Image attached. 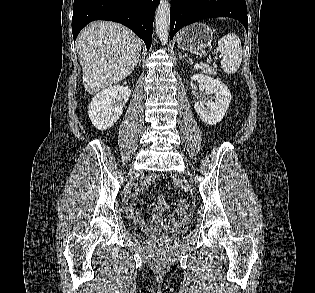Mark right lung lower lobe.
<instances>
[{
  "mask_svg": "<svg viewBox=\"0 0 315 293\" xmlns=\"http://www.w3.org/2000/svg\"><path fill=\"white\" fill-rule=\"evenodd\" d=\"M160 0H74L72 32L74 41L80 30L94 20L119 22L151 46L153 18Z\"/></svg>",
  "mask_w": 315,
  "mask_h": 293,
  "instance_id": "obj_1",
  "label": "right lung lower lobe"
}]
</instances>
